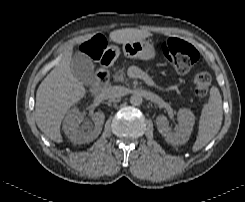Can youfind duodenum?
<instances>
[{"label":"duodenum","instance_id":"1","mask_svg":"<svg viewBox=\"0 0 245 202\" xmlns=\"http://www.w3.org/2000/svg\"><path fill=\"white\" fill-rule=\"evenodd\" d=\"M110 63H111V58L107 56L103 57L102 60L100 61L99 69L96 73V78L93 83L94 91L99 92L108 85L110 79V71H109Z\"/></svg>","mask_w":245,"mask_h":202}]
</instances>
